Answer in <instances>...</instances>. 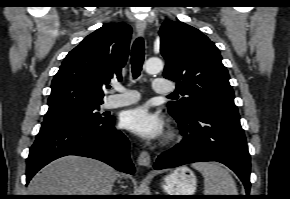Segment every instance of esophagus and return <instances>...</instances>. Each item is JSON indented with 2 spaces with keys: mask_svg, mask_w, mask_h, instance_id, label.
<instances>
[{
  "mask_svg": "<svg viewBox=\"0 0 290 199\" xmlns=\"http://www.w3.org/2000/svg\"><path fill=\"white\" fill-rule=\"evenodd\" d=\"M146 29V24L143 21H136V30L139 35H143ZM137 162L140 166L150 167L151 166V158L147 151H142L138 156Z\"/></svg>",
  "mask_w": 290,
  "mask_h": 199,
  "instance_id": "34e87169",
  "label": "esophagus"
}]
</instances>
